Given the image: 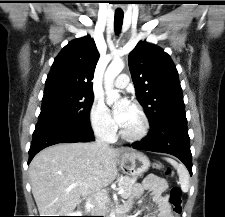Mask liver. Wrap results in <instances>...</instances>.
<instances>
[{"instance_id":"liver-1","label":"liver","mask_w":225,"mask_h":217,"mask_svg":"<svg viewBox=\"0 0 225 217\" xmlns=\"http://www.w3.org/2000/svg\"><path fill=\"white\" fill-rule=\"evenodd\" d=\"M130 151L100 149L95 143H60L40 151L29 165L40 216L71 213L81 197L115 180L118 157Z\"/></svg>"}]
</instances>
